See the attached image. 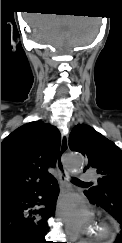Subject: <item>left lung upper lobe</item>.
Returning <instances> with one entry per match:
<instances>
[{
  "label": "left lung upper lobe",
  "mask_w": 122,
  "mask_h": 243,
  "mask_svg": "<svg viewBox=\"0 0 122 243\" xmlns=\"http://www.w3.org/2000/svg\"><path fill=\"white\" fill-rule=\"evenodd\" d=\"M69 147L82 153L101 175L98 185L91 187L85 194L96 201L103 202L108 212L122 224V199L113 200L109 188L122 183V151L112 141L86 124L73 128L69 136Z\"/></svg>",
  "instance_id": "5c2ea615"
}]
</instances>
